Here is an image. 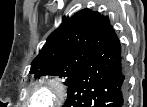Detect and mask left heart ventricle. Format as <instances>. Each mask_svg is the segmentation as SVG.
Masks as SVG:
<instances>
[{"mask_svg": "<svg viewBox=\"0 0 147 107\" xmlns=\"http://www.w3.org/2000/svg\"><path fill=\"white\" fill-rule=\"evenodd\" d=\"M47 98V92L40 90L34 94L32 103L43 105L47 101Z\"/></svg>", "mask_w": 147, "mask_h": 107, "instance_id": "left-heart-ventricle-1", "label": "left heart ventricle"}]
</instances>
